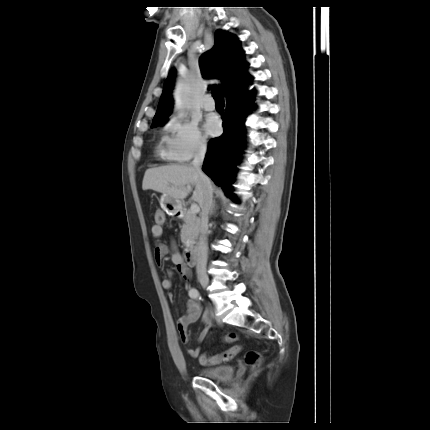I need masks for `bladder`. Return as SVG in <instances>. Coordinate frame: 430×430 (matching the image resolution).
<instances>
[{"label":"bladder","mask_w":430,"mask_h":430,"mask_svg":"<svg viewBox=\"0 0 430 430\" xmlns=\"http://www.w3.org/2000/svg\"><path fill=\"white\" fill-rule=\"evenodd\" d=\"M199 373L202 377L211 380L224 381L230 379L233 376L234 369L230 365H218L203 368L199 371Z\"/></svg>","instance_id":"1"}]
</instances>
